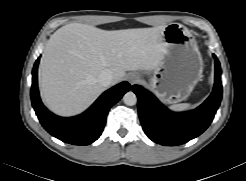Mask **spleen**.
I'll use <instances>...</instances> for the list:
<instances>
[{"mask_svg": "<svg viewBox=\"0 0 246 181\" xmlns=\"http://www.w3.org/2000/svg\"><path fill=\"white\" fill-rule=\"evenodd\" d=\"M190 107H191V104L189 103H181V104L172 105L170 109L174 111H185V110H188Z\"/></svg>", "mask_w": 246, "mask_h": 181, "instance_id": "1", "label": "spleen"}]
</instances>
